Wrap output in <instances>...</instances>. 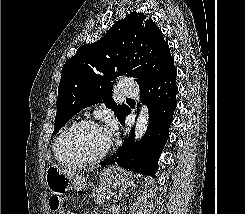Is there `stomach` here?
<instances>
[{
	"label": "stomach",
	"instance_id": "1",
	"mask_svg": "<svg viewBox=\"0 0 245 214\" xmlns=\"http://www.w3.org/2000/svg\"><path fill=\"white\" fill-rule=\"evenodd\" d=\"M45 180L46 186L54 195H61L70 189L81 191L87 185L85 177L56 165L47 168ZM100 183L105 188L116 189L128 183V177L123 170L111 167L100 173Z\"/></svg>",
	"mask_w": 245,
	"mask_h": 214
}]
</instances>
